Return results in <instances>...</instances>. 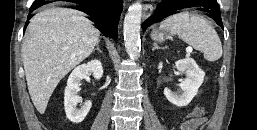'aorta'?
I'll list each match as a JSON object with an SVG mask.
<instances>
[{"label": "aorta", "mask_w": 257, "mask_h": 130, "mask_svg": "<svg viewBox=\"0 0 257 130\" xmlns=\"http://www.w3.org/2000/svg\"><path fill=\"white\" fill-rule=\"evenodd\" d=\"M142 5L136 2L129 7L123 25L125 48L131 59L136 60L140 53V24Z\"/></svg>", "instance_id": "762f6f07"}]
</instances>
